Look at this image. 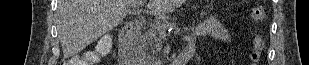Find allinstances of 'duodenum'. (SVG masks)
<instances>
[{
    "mask_svg": "<svg viewBox=\"0 0 309 65\" xmlns=\"http://www.w3.org/2000/svg\"><path fill=\"white\" fill-rule=\"evenodd\" d=\"M140 25L136 22L130 24L119 37L118 59L119 65H132L130 61V49L138 35ZM194 53V48L187 46L176 58L174 65H186Z\"/></svg>",
    "mask_w": 309,
    "mask_h": 65,
    "instance_id": "410a0bca",
    "label": "duodenum"
}]
</instances>
